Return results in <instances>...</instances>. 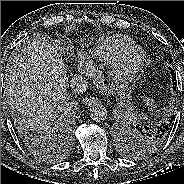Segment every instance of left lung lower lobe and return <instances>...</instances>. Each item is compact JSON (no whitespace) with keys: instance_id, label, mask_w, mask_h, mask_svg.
Segmentation results:
<instances>
[{"instance_id":"left-lung-lower-lobe-1","label":"left lung lower lobe","mask_w":184,"mask_h":184,"mask_svg":"<svg viewBox=\"0 0 184 184\" xmlns=\"http://www.w3.org/2000/svg\"><path fill=\"white\" fill-rule=\"evenodd\" d=\"M170 69V68H169ZM171 74H172V81H173V89L175 90L176 89V76L174 75V71L171 70ZM173 117H171L170 120H168L167 122H164L162 123L160 126H155V127H146V129L148 130H151L153 132H155L158 136L160 137H163V138H166L168 136V134L170 133V130H171V124H172V121H173ZM128 136L131 137V140L134 142L135 146H136V143L134 141V137H133V130L130 134V132L128 131ZM127 136V137H128Z\"/></svg>"}]
</instances>
